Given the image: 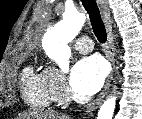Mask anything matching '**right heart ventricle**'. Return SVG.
<instances>
[{"label": "right heart ventricle", "mask_w": 142, "mask_h": 119, "mask_svg": "<svg viewBox=\"0 0 142 119\" xmlns=\"http://www.w3.org/2000/svg\"><path fill=\"white\" fill-rule=\"evenodd\" d=\"M23 97L35 107H48L54 101L50 79L45 71L28 68L24 72Z\"/></svg>", "instance_id": "right-heart-ventricle-1"}]
</instances>
